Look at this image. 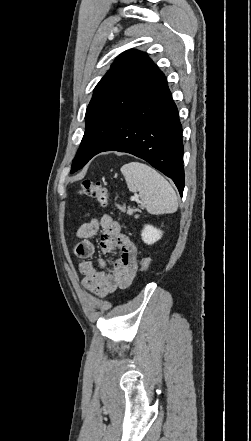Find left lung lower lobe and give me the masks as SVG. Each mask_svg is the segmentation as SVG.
<instances>
[{"instance_id":"left-lung-lower-lobe-1","label":"left lung lower lobe","mask_w":251,"mask_h":441,"mask_svg":"<svg viewBox=\"0 0 251 441\" xmlns=\"http://www.w3.org/2000/svg\"><path fill=\"white\" fill-rule=\"evenodd\" d=\"M86 159L105 151L127 152L146 160L184 189L182 125L163 75L126 115L95 121L84 135Z\"/></svg>"}]
</instances>
